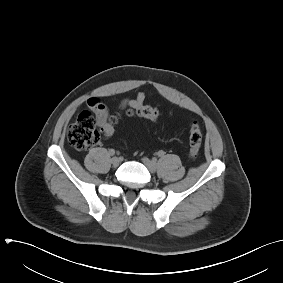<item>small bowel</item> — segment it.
<instances>
[{"label":"small bowel","mask_w":283,"mask_h":283,"mask_svg":"<svg viewBox=\"0 0 283 283\" xmlns=\"http://www.w3.org/2000/svg\"><path fill=\"white\" fill-rule=\"evenodd\" d=\"M146 98L144 92H139L135 98L124 99L120 102L122 109L136 108L143 105ZM88 107L94 112L96 123L101 128L109 119V111L107 106L96 97L90 98L87 101Z\"/></svg>","instance_id":"small-bowel-1"}]
</instances>
